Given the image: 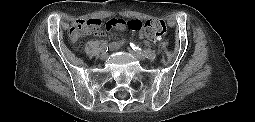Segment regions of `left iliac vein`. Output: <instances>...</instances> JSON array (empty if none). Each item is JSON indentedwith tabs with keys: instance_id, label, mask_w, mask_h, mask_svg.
I'll return each instance as SVG.
<instances>
[{
	"instance_id": "4c4485c4",
	"label": "left iliac vein",
	"mask_w": 255,
	"mask_h": 122,
	"mask_svg": "<svg viewBox=\"0 0 255 122\" xmlns=\"http://www.w3.org/2000/svg\"><path fill=\"white\" fill-rule=\"evenodd\" d=\"M131 52L140 61H145L146 60L145 56H143L141 53H139L137 51H133V50H131Z\"/></svg>"
}]
</instances>
